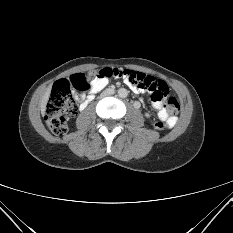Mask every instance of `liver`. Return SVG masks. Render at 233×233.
<instances>
[{"mask_svg": "<svg viewBox=\"0 0 233 233\" xmlns=\"http://www.w3.org/2000/svg\"><path fill=\"white\" fill-rule=\"evenodd\" d=\"M50 91H51V87H48L47 91L45 92V94L43 95V97L41 99L40 107H41L42 114L45 113L46 105H47V102H48L49 96H50Z\"/></svg>", "mask_w": 233, "mask_h": 233, "instance_id": "1", "label": "liver"}]
</instances>
